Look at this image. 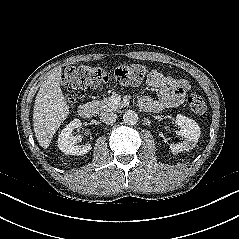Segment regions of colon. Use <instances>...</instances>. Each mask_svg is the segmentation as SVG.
I'll list each match as a JSON object with an SVG mask.
<instances>
[{"label":"colon","instance_id":"obj_1","mask_svg":"<svg viewBox=\"0 0 239 239\" xmlns=\"http://www.w3.org/2000/svg\"><path fill=\"white\" fill-rule=\"evenodd\" d=\"M146 74V66L138 63L122 64L111 71L96 66L80 65L66 69L62 76V84L68 91L97 88L111 81L123 86H137L143 82ZM68 99L70 102L74 101L71 95H68ZM187 102L196 114H202L206 110L203 96L196 91L189 92Z\"/></svg>","mask_w":239,"mask_h":239}]
</instances>
